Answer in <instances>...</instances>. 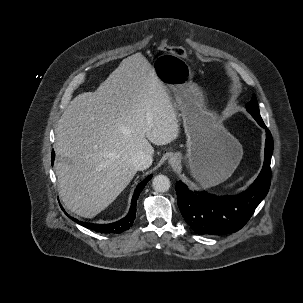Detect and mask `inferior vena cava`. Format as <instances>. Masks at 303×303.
I'll list each match as a JSON object with an SVG mask.
<instances>
[{"label": "inferior vena cava", "mask_w": 303, "mask_h": 303, "mask_svg": "<svg viewBox=\"0 0 303 303\" xmlns=\"http://www.w3.org/2000/svg\"><path fill=\"white\" fill-rule=\"evenodd\" d=\"M152 156L139 152L132 157V164L136 170H144L152 164Z\"/></svg>", "instance_id": "obj_1"}]
</instances>
